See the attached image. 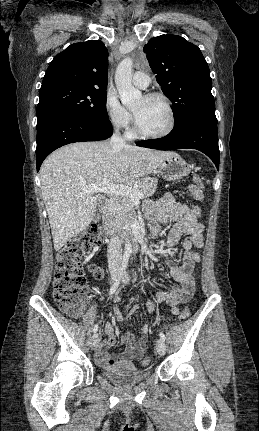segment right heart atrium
<instances>
[{
  "label": "right heart atrium",
  "mask_w": 259,
  "mask_h": 431,
  "mask_svg": "<svg viewBox=\"0 0 259 431\" xmlns=\"http://www.w3.org/2000/svg\"><path fill=\"white\" fill-rule=\"evenodd\" d=\"M105 113L109 123L116 129H127L132 123L131 114L122 106L113 92L107 94Z\"/></svg>",
  "instance_id": "d8ad5b80"
}]
</instances>
